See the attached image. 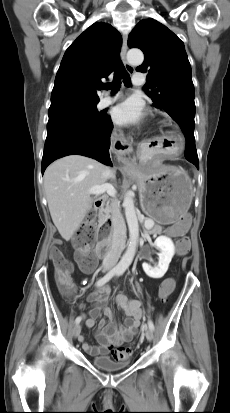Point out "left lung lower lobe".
Segmentation results:
<instances>
[{"mask_svg": "<svg viewBox=\"0 0 230 413\" xmlns=\"http://www.w3.org/2000/svg\"><path fill=\"white\" fill-rule=\"evenodd\" d=\"M184 135L186 138L185 157L189 162L193 163L199 169V161L197 150L195 147L194 132L187 130L184 132Z\"/></svg>", "mask_w": 230, "mask_h": 413, "instance_id": "1", "label": "left lung lower lobe"}]
</instances>
